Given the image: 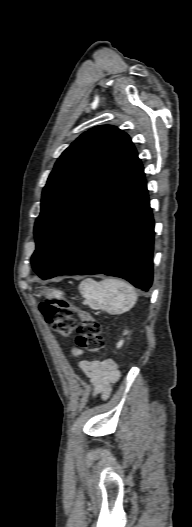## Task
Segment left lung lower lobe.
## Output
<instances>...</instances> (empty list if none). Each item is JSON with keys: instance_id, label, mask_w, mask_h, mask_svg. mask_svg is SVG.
Segmentation results:
<instances>
[{"instance_id": "0a47b994", "label": "left lung lower lobe", "mask_w": 192, "mask_h": 527, "mask_svg": "<svg viewBox=\"0 0 192 527\" xmlns=\"http://www.w3.org/2000/svg\"><path fill=\"white\" fill-rule=\"evenodd\" d=\"M154 220L138 160L110 189L65 251L41 275L106 274L148 291L153 277Z\"/></svg>"}]
</instances>
